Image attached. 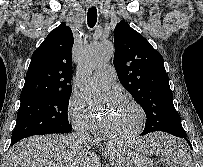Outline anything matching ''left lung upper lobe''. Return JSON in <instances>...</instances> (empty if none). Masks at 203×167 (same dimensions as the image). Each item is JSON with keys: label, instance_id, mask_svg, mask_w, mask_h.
Listing matches in <instances>:
<instances>
[{"label": "left lung upper lobe", "instance_id": "obj_1", "mask_svg": "<svg viewBox=\"0 0 203 167\" xmlns=\"http://www.w3.org/2000/svg\"><path fill=\"white\" fill-rule=\"evenodd\" d=\"M114 46V67L119 81L146 114L143 133L163 131L186 135L173 104L162 55L125 21L116 25Z\"/></svg>", "mask_w": 203, "mask_h": 167}]
</instances>
